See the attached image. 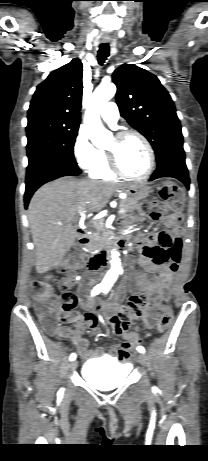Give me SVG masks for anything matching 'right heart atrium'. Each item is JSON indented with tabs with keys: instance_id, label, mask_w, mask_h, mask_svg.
<instances>
[{
	"instance_id": "right-heart-atrium-1",
	"label": "right heart atrium",
	"mask_w": 208,
	"mask_h": 461,
	"mask_svg": "<svg viewBox=\"0 0 208 461\" xmlns=\"http://www.w3.org/2000/svg\"><path fill=\"white\" fill-rule=\"evenodd\" d=\"M73 154L79 168L85 171L89 170L98 159V150L82 131L75 138Z\"/></svg>"
}]
</instances>
